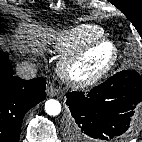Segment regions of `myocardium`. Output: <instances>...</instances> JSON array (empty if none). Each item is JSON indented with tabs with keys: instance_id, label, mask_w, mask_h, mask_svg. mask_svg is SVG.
Returning a JSON list of instances; mask_svg holds the SVG:
<instances>
[{
	"instance_id": "1",
	"label": "myocardium",
	"mask_w": 142,
	"mask_h": 142,
	"mask_svg": "<svg viewBox=\"0 0 142 142\" xmlns=\"http://www.w3.org/2000/svg\"><path fill=\"white\" fill-rule=\"evenodd\" d=\"M102 47L109 49V57L104 65L90 75H79L77 67ZM118 55L119 51L116 44L110 39L101 38L64 57L59 64L58 71L67 84L77 88H88L99 83L110 73L117 63Z\"/></svg>"
}]
</instances>
